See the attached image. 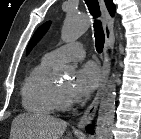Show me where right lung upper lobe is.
<instances>
[{
  "label": "right lung upper lobe",
  "instance_id": "cb5924a9",
  "mask_svg": "<svg viewBox=\"0 0 141 139\" xmlns=\"http://www.w3.org/2000/svg\"><path fill=\"white\" fill-rule=\"evenodd\" d=\"M106 6L110 12V14L113 16L115 13V5L112 0H105Z\"/></svg>",
  "mask_w": 141,
  "mask_h": 139
}]
</instances>
